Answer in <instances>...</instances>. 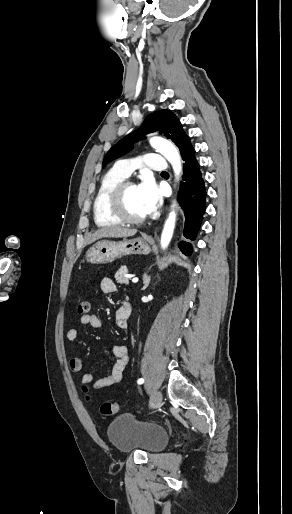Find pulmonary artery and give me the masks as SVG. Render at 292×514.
<instances>
[{"instance_id": "e3ab8cb5", "label": "pulmonary artery", "mask_w": 292, "mask_h": 514, "mask_svg": "<svg viewBox=\"0 0 292 514\" xmlns=\"http://www.w3.org/2000/svg\"><path fill=\"white\" fill-rule=\"evenodd\" d=\"M137 157L128 159L126 156H121L115 164L116 171L122 177L128 178L133 169L143 171L146 167L149 172H165L168 169L165 157L157 156L155 151L139 152Z\"/></svg>"}]
</instances>
